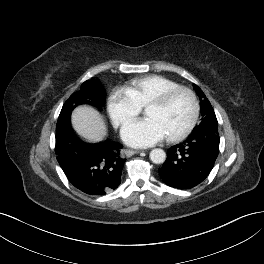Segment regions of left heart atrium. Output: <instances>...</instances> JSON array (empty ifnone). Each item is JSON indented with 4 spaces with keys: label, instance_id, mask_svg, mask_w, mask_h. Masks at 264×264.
Returning <instances> with one entry per match:
<instances>
[{
    "label": "left heart atrium",
    "instance_id": "1",
    "mask_svg": "<svg viewBox=\"0 0 264 264\" xmlns=\"http://www.w3.org/2000/svg\"><path fill=\"white\" fill-rule=\"evenodd\" d=\"M160 124L152 118L134 120L122 129V138L130 146H152L165 137Z\"/></svg>",
    "mask_w": 264,
    "mask_h": 264
}]
</instances>
